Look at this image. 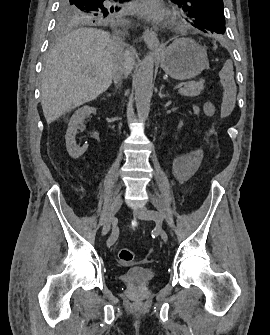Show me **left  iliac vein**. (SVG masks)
<instances>
[{
  "label": "left iliac vein",
  "instance_id": "obj_1",
  "mask_svg": "<svg viewBox=\"0 0 270 335\" xmlns=\"http://www.w3.org/2000/svg\"><path fill=\"white\" fill-rule=\"evenodd\" d=\"M134 216H136L139 219L147 220V221H150V220L153 219L149 214V210H147L146 208H141V209H138V210L134 211ZM157 231H158L160 237L162 238V240L167 242L168 241V235H167L166 231L160 225H157Z\"/></svg>",
  "mask_w": 270,
  "mask_h": 335
}]
</instances>
